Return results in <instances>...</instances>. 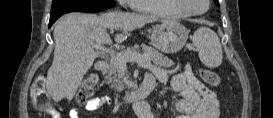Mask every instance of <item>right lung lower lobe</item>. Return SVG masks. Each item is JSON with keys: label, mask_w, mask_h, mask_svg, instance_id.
Wrapping results in <instances>:
<instances>
[{"label": "right lung lower lobe", "mask_w": 273, "mask_h": 118, "mask_svg": "<svg viewBox=\"0 0 273 118\" xmlns=\"http://www.w3.org/2000/svg\"><path fill=\"white\" fill-rule=\"evenodd\" d=\"M101 12V10L96 9H87L83 7H78L70 4L61 3L59 5H52L51 8V15H50V21H49V27L57 20L58 17H60L63 14L70 13V12Z\"/></svg>", "instance_id": "right-lung-lower-lobe-1"}]
</instances>
